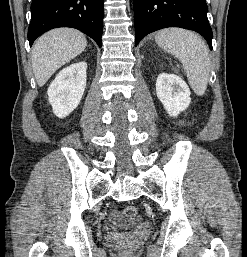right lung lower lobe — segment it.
I'll use <instances>...</instances> for the list:
<instances>
[{"label":"right lung lower lobe","mask_w":247,"mask_h":257,"mask_svg":"<svg viewBox=\"0 0 247 257\" xmlns=\"http://www.w3.org/2000/svg\"><path fill=\"white\" fill-rule=\"evenodd\" d=\"M104 0H33L28 28L30 46L44 32L57 27L76 28L101 47Z\"/></svg>","instance_id":"obj_1"}]
</instances>
